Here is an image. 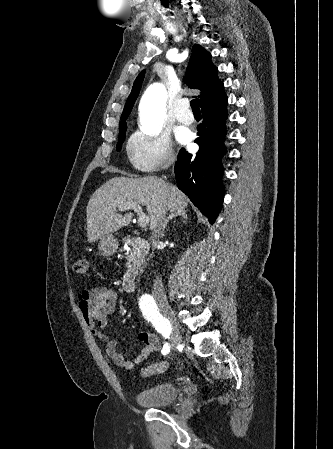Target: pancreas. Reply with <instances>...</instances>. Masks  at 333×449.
Masks as SVG:
<instances>
[{"label":"pancreas","mask_w":333,"mask_h":449,"mask_svg":"<svg viewBox=\"0 0 333 449\" xmlns=\"http://www.w3.org/2000/svg\"><path fill=\"white\" fill-rule=\"evenodd\" d=\"M136 255V252L134 250H130V252L127 253V260L128 264L132 261V258Z\"/></svg>","instance_id":"pancreas-1"}]
</instances>
